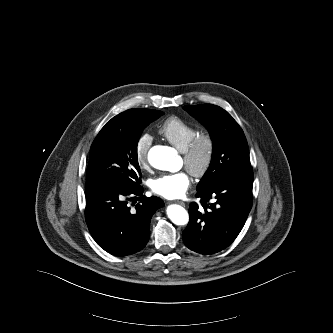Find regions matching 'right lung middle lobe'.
I'll return each instance as SVG.
<instances>
[{
	"label": "right lung middle lobe",
	"mask_w": 333,
	"mask_h": 333,
	"mask_svg": "<svg viewBox=\"0 0 333 333\" xmlns=\"http://www.w3.org/2000/svg\"><path fill=\"white\" fill-rule=\"evenodd\" d=\"M163 114L158 110L139 108L112 118L91 146L86 183L139 185L138 140L144 128Z\"/></svg>",
	"instance_id": "obj_1"
}]
</instances>
